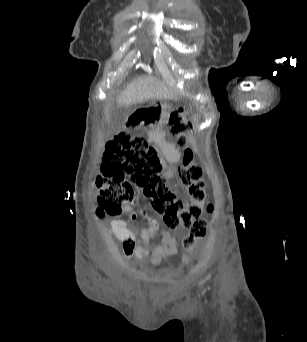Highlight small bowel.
<instances>
[{"label": "small bowel", "mask_w": 307, "mask_h": 342, "mask_svg": "<svg viewBox=\"0 0 307 342\" xmlns=\"http://www.w3.org/2000/svg\"><path fill=\"white\" fill-rule=\"evenodd\" d=\"M167 158L172 162H178L180 159V153L173 147H169L166 152ZM168 177H171L170 170L166 172ZM128 213H133L131 208H126ZM98 216L102 215L99 210ZM145 218L149 221L150 225L147 228L137 229L135 228L131 220L122 218H116L112 221L111 229L116 238L121 242L122 251L125 259L129 260L133 257L138 259H144L149 255L150 242L155 237H160L159 223L158 221L147 212L144 213ZM134 219V218H130ZM175 240V239H165Z\"/></svg>", "instance_id": "obj_1"}]
</instances>
